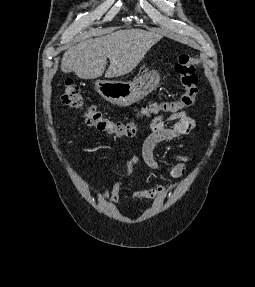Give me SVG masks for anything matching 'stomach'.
<instances>
[{
	"instance_id": "obj_1",
	"label": "stomach",
	"mask_w": 255,
	"mask_h": 287,
	"mask_svg": "<svg viewBox=\"0 0 255 287\" xmlns=\"http://www.w3.org/2000/svg\"><path fill=\"white\" fill-rule=\"evenodd\" d=\"M159 82L158 74H147L140 76L134 82H107V80H96L95 90L111 104L117 106H131L139 100H143L147 94H150L156 88Z\"/></svg>"
}]
</instances>
